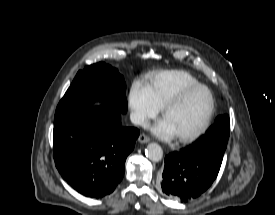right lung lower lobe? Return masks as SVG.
<instances>
[{
	"mask_svg": "<svg viewBox=\"0 0 275 215\" xmlns=\"http://www.w3.org/2000/svg\"><path fill=\"white\" fill-rule=\"evenodd\" d=\"M122 112L110 104L59 115L54 119L55 165L79 193L100 198L114 191L139 130L123 127Z\"/></svg>",
	"mask_w": 275,
	"mask_h": 215,
	"instance_id": "right-lung-lower-lobe-1",
	"label": "right lung lower lobe"
}]
</instances>
